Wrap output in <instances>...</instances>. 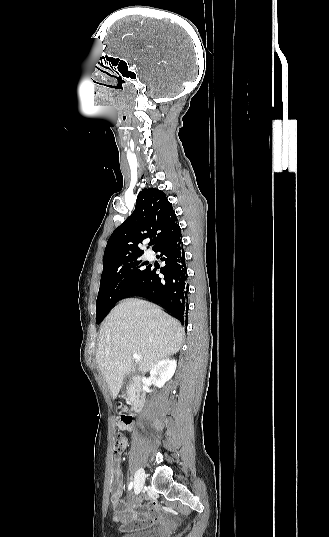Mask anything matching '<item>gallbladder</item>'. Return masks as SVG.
<instances>
[{"label": "gallbladder", "instance_id": "gallbladder-1", "mask_svg": "<svg viewBox=\"0 0 329 537\" xmlns=\"http://www.w3.org/2000/svg\"><path fill=\"white\" fill-rule=\"evenodd\" d=\"M130 383H131V376H130V375H127V376L124 378L123 386H122V388H123L124 391H127L128 387H129V385H130Z\"/></svg>", "mask_w": 329, "mask_h": 537}]
</instances>
